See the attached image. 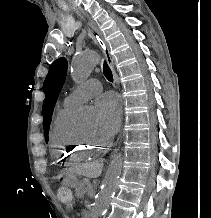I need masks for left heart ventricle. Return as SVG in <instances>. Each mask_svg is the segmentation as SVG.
<instances>
[{"label":"left heart ventricle","instance_id":"obj_1","mask_svg":"<svg viewBox=\"0 0 211 218\" xmlns=\"http://www.w3.org/2000/svg\"><path fill=\"white\" fill-rule=\"evenodd\" d=\"M87 134H89V135H92L93 134V132H86Z\"/></svg>","mask_w":211,"mask_h":218}]
</instances>
